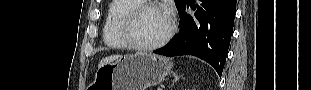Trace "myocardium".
Masks as SVG:
<instances>
[{
    "label": "myocardium",
    "instance_id": "1",
    "mask_svg": "<svg viewBox=\"0 0 311 90\" xmlns=\"http://www.w3.org/2000/svg\"><path fill=\"white\" fill-rule=\"evenodd\" d=\"M151 9H159L163 10L166 12L169 18V28L166 34L157 42L152 43V44H141L137 41L135 34H134V29L136 26V23L140 17V15L145 12L146 10H151ZM176 30V22L175 18L170 13L165 7H163L160 4L157 3H142L131 9L124 17L122 26H121V34L126 41L128 47H130L133 50L136 51H153L155 49H158L165 45L170 38L173 36L174 32Z\"/></svg>",
    "mask_w": 311,
    "mask_h": 90
}]
</instances>
